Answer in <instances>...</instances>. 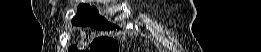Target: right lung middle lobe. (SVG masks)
<instances>
[{
  "label": "right lung middle lobe",
  "mask_w": 261,
  "mask_h": 52,
  "mask_svg": "<svg viewBox=\"0 0 261 52\" xmlns=\"http://www.w3.org/2000/svg\"><path fill=\"white\" fill-rule=\"evenodd\" d=\"M72 24L86 25L99 30L117 28L116 25L107 22L106 19L101 17L95 7H90L87 4L79 5L77 15L73 18Z\"/></svg>",
  "instance_id": "1"
}]
</instances>
